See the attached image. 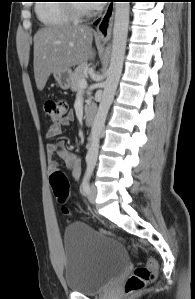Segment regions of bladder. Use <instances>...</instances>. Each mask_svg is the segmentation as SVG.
Returning <instances> with one entry per match:
<instances>
[{"label":"bladder","mask_w":195,"mask_h":299,"mask_svg":"<svg viewBox=\"0 0 195 299\" xmlns=\"http://www.w3.org/2000/svg\"><path fill=\"white\" fill-rule=\"evenodd\" d=\"M64 251L65 283L73 292L95 294L128 266V255L120 242L83 223L66 227Z\"/></svg>","instance_id":"bladder-1"}]
</instances>
